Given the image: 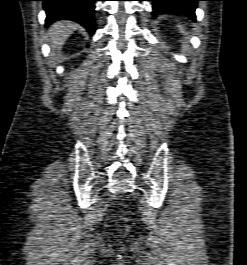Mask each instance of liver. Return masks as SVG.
Instances as JSON below:
<instances>
[{"instance_id": "liver-1", "label": "liver", "mask_w": 247, "mask_h": 265, "mask_svg": "<svg viewBox=\"0 0 247 265\" xmlns=\"http://www.w3.org/2000/svg\"><path fill=\"white\" fill-rule=\"evenodd\" d=\"M77 25L70 21H59L49 28L53 52L59 51L67 38L75 31Z\"/></svg>"}]
</instances>
